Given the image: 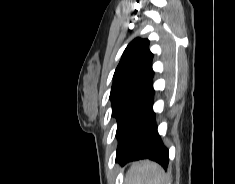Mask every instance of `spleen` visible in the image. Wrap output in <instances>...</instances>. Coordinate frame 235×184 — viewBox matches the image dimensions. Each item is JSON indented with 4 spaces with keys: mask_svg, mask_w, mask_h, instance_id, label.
Instances as JSON below:
<instances>
[{
    "mask_svg": "<svg viewBox=\"0 0 235 184\" xmlns=\"http://www.w3.org/2000/svg\"><path fill=\"white\" fill-rule=\"evenodd\" d=\"M125 184H168V180L159 164L143 160L140 164L131 166L126 174Z\"/></svg>",
    "mask_w": 235,
    "mask_h": 184,
    "instance_id": "obj_1",
    "label": "spleen"
}]
</instances>
